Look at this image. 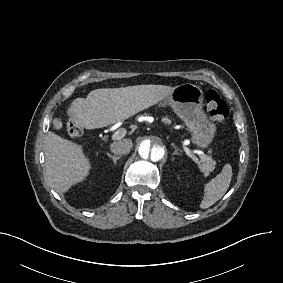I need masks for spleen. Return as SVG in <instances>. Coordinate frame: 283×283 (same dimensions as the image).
Wrapping results in <instances>:
<instances>
[{
	"label": "spleen",
	"mask_w": 283,
	"mask_h": 283,
	"mask_svg": "<svg viewBox=\"0 0 283 283\" xmlns=\"http://www.w3.org/2000/svg\"><path fill=\"white\" fill-rule=\"evenodd\" d=\"M232 178V167L225 164L221 173L206 184L204 189V198L200 208L206 209L215 204L226 193Z\"/></svg>",
	"instance_id": "obj_1"
}]
</instances>
